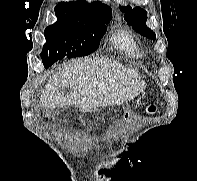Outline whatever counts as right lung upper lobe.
I'll list each match as a JSON object with an SVG mask.
<instances>
[{
  "label": "right lung upper lobe",
  "instance_id": "cb5924a9",
  "mask_svg": "<svg viewBox=\"0 0 197 181\" xmlns=\"http://www.w3.org/2000/svg\"><path fill=\"white\" fill-rule=\"evenodd\" d=\"M55 14L59 18L78 19L87 16L111 15L109 6L99 2L87 3L86 0L75 2H61L55 7Z\"/></svg>",
  "mask_w": 197,
  "mask_h": 181
}]
</instances>
